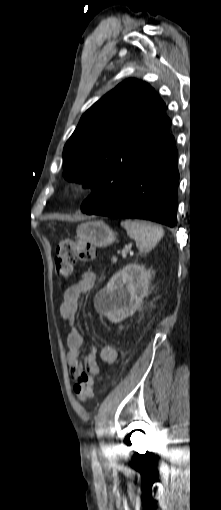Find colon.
<instances>
[{
  "label": "colon",
  "mask_w": 221,
  "mask_h": 510,
  "mask_svg": "<svg viewBox=\"0 0 221 510\" xmlns=\"http://www.w3.org/2000/svg\"><path fill=\"white\" fill-rule=\"evenodd\" d=\"M96 257L93 246L83 240H63L57 246L55 270L59 277L68 279L77 262L91 261ZM94 376L88 372H81L74 384V392L81 402L92 398L94 393Z\"/></svg>",
  "instance_id": "1"
}]
</instances>
